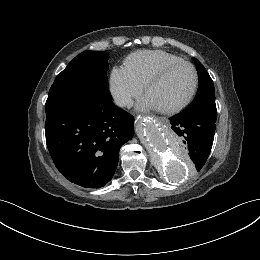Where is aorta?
<instances>
[{
  "label": "aorta",
  "mask_w": 260,
  "mask_h": 260,
  "mask_svg": "<svg viewBox=\"0 0 260 260\" xmlns=\"http://www.w3.org/2000/svg\"><path fill=\"white\" fill-rule=\"evenodd\" d=\"M137 135L148 149L156 167L169 181H179L188 175L189 168L173 133L153 118L139 122Z\"/></svg>",
  "instance_id": "obj_1"
}]
</instances>
